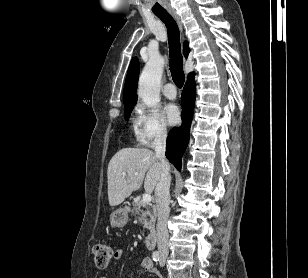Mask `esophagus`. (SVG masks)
Returning <instances> with one entry per match:
<instances>
[{
    "mask_svg": "<svg viewBox=\"0 0 308 278\" xmlns=\"http://www.w3.org/2000/svg\"><path fill=\"white\" fill-rule=\"evenodd\" d=\"M169 13L171 14V16L174 18V20L176 21L181 33L183 32V27H182V23L180 20V17L178 16V14L176 13L175 10H169Z\"/></svg>",
    "mask_w": 308,
    "mask_h": 278,
    "instance_id": "esophagus-1",
    "label": "esophagus"
}]
</instances>
